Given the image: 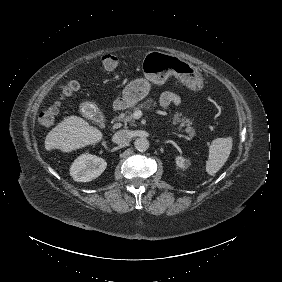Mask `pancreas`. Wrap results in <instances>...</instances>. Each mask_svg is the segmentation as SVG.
Listing matches in <instances>:
<instances>
[{
  "label": "pancreas",
  "instance_id": "1",
  "mask_svg": "<svg viewBox=\"0 0 282 282\" xmlns=\"http://www.w3.org/2000/svg\"><path fill=\"white\" fill-rule=\"evenodd\" d=\"M148 101H144L143 103L137 104L136 107H133L132 109L126 110L125 112L121 113L118 117V120L120 122L128 123L129 125H134L135 124V117L134 113L135 111L142 109L144 104L147 103ZM151 102V101H150ZM178 117L174 118V121H177ZM188 120L182 121L180 124L182 127L185 126V124H188ZM185 131L189 133L190 135L192 134V128L190 126H186Z\"/></svg>",
  "mask_w": 282,
  "mask_h": 282
}]
</instances>
